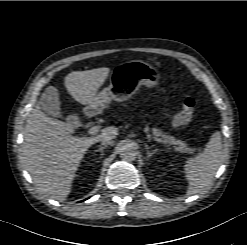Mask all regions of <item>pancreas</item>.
Instances as JSON below:
<instances>
[{"label":"pancreas","mask_w":247,"mask_h":245,"mask_svg":"<svg viewBox=\"0 0 247 245\" xmlns=\"http://www.w3.org/2000/svg\"><path fill=\"white\" fill-rule=\"evenodd\" d=\"M153 134L156 137H160L168 146H172L177 152L192 154L195 150L194 148L188 147L187 143L163 133L160 129H153Z\"/></svg>","instance_id":"1"}]
</instances>
